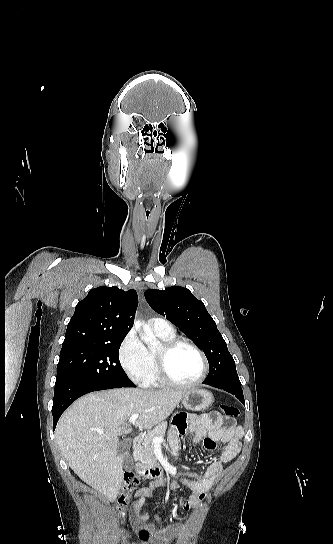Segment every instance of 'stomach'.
Returning <instances> with one entry per match:
<instances>
[{
	"label": "stomach",
	"instance_id": "obj_1",
	"mask_svg": "<svg viewBox=\"0 0 333 544\" xmlns=\"http://www.w3.org/2000/svg\"><path fill=\"white\" fill-rule=\"evenodd\" d=\"M181 400L185 409L203 411L212 405L213 396L207 390L193 389L188 391Z\"/></svg>",
	"mask_w": 333,
	"mask_h": 544
}]
</instances>
